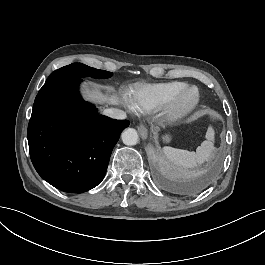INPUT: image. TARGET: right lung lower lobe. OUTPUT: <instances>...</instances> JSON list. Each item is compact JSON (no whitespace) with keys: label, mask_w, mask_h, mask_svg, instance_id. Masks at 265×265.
<instances>
[{"label":"right lung lower lobe","mask_w":265,"mask_h":265,"mask_svg":"<svg viewBox=\"0 0 265 265\" xmlns=\"http://www.w3.org/2000/svg\"><path fill=\"white\" fill-rule=\"evenodd\" d=\"M81 79L43 85L28 125V144L38 174L57 189L88 191L103 180L113 147L127 120L99 115L79 94Z\"/></svg>","instance_id":"right-lung-lower-lobe-1"}]
</instances>
